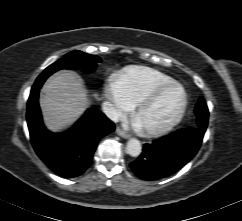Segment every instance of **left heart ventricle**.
<instances>
[{"mask_svg": "<svg viewBox=\"0 0 242 221\" xmlns=\"http://www.w3.org/2000/svg\"><path fill=\"white\" fill-rule=\"evenodd\" d=\"M182 93L179 89L165 92L153 105L136 116V122L142 129L156 128L170 120L179 109Z\"/></svg>", "mask_w": 242, "mask_h": 221, "instance_id": "1", "label": "left heart ventricle"}]
</instances>
